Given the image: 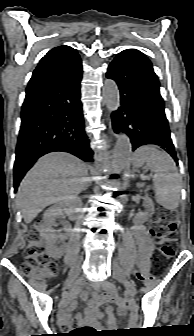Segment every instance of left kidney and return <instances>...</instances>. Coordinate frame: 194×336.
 <instances>
[{"mask_svg": "<svg viewBox=\"0 0 194 336\" xmlns=\"http://www.w3.org/2000/svg\"><path fill=\"white\" fill-rule=\"evenodd\" d=\"M144 183H137V187L142 188L144 187ZM151 215V213L149 212V210L145 211V212H139L136 214L134 221L137 223H144L149 216Z\"/></svg>", "mask_w": 194, "mask_h": 336, "instance_id": "5707ae66", "label": "left kidney"}]
</instances>
